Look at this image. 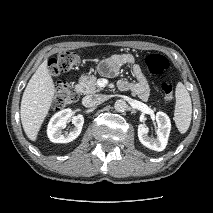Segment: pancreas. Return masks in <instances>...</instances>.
I'll use <instances>...</instances> for the list:
<instances>
[{
  "mask_svg": "<svg viewBox=\"0 0 213 213\" xmlns=\"http://www.w3.org/2000/svg\"><path fill=\"white\" fill-rule=\"evenodd\" d=\"M77 88L83 94H94L102 90L97 84V78L89 75H83L80 77Z\"/></svg>",
  "mask_w": 213,
  "mask_h": 213,
  "instance_id": "1",
  "label": "pancreas"
}]
</instances>
